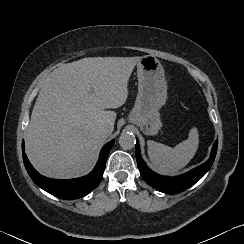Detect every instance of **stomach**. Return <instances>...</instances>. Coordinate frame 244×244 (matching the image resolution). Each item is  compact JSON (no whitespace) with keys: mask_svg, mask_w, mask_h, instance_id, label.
I'll return each instance as SVG.
<instances>
[{"mask_svg":"<svg viewBox=\"0 0 244 244\" xmlns=\"http://www.w3.org/2000/svg\"><path fill=\"white\" fill-rule=\"evenodd\" d=\"M138 96L129 120L146 135H156L162 128L161 110L167 101L165 72L153 55L142 56L137 63Z\"/></svg>","mask_w":244,"mask_h":244,"instance_id":"obj_1","label":"stomach"}]
</instances>
